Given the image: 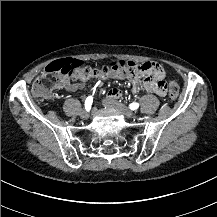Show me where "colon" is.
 I'll list each match as a JSON object with an SVG mask.
<instances>
[{
    "instance_id": "5ec220e1",
    "label": "colon",
    "mask_w": 217,
    "mask_h": 217,
    "mask_svg": "<svg viewBox=\"0 0 217 217\" xmlns=\"http://www.w3.org/2000/svg\"><path fill=\"white\" fill-rule=\"evenodd\" d=\"M90 64L78 61L75 58H64L52 63L44 71L37 75V80L33 84V95L39 100H46L53 96L54 87L64 82L68 74L81 71L87 73ZM103 70L119 71L125 70L127 73L140 76H152L156 78L166 77L163 66L157 62L136 63L127 60H113L102 63ZM86 70V71H82ZM169 86V85H168ZM167 92V91H166ZM168 95L171 100H176L179 96V86L172 82L168 88Z\"/></svg>"
}]
</instances>
